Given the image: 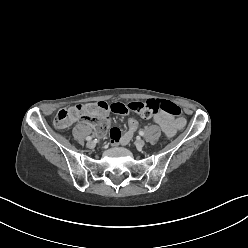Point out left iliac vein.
<instances>
[{
	"label": "left iliac vein",
	"instance_id": "obj_1",
	"mask_svg": "<svg viewBox=\"0 0 248 248\" xmlns=\"http://www.w3.org/2000/svg\"><path fill=\"white\" fill-rule=\"evenodd\" d=\"M135 144L138 148H142L145 145V141L142 139H137Z\"/></svg>",
	"mask_w": 248,
	"mask_h": 248
}]
</instances>
